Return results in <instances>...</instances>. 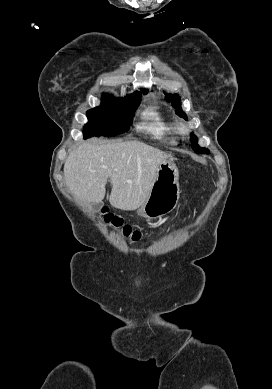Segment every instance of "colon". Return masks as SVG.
<instances>
[{
	"instance_id": "obj_1",
	"label": "colon",
	"mask_w": 272,
	"mask_h": 389,
	"mask_svg": "<svg viewBox=\"0 0 272 389\" xmlns=\"http://www.w3.org/2000/svg\"><path fill=\"white\" fill-rule=\"evenodd\" d=\"M104 221L113 227L120 229L121 234L132 241H138L141 238V232L133 230L130 226L124 225L122 220L113 214L104 212Z\"/></svg>"
}]
</instances>
